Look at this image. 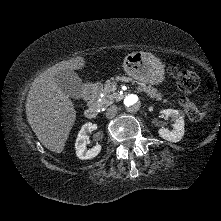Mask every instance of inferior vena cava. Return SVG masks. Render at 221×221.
Wrapping results in <instances>:
<instances>
[{"label":"inferior vena cava","mask_w":221,"mask_h":221,"mask_svg":"<svg viewBox=\"0 0 221 221\" xmlns=\"http://www.w3.org/2000/svg\"><path fill=\"white\" fill-rule=\"evenodd\" d=\"M117 110H118L117 106L115 105L110 106L106 111V117L108 119L113 118L117 114Z\"/></svg>","instance_id":"obj_1"}]
</instances>
